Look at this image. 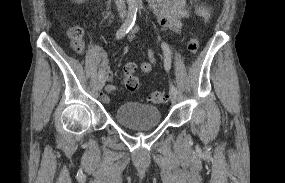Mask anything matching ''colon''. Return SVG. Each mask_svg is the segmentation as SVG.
I'll return each instance as SVG.
<instances>
[{
	"label": "colon",
	"instance_id": "5ec220e1",
	"mask_svg": "<svg viewBox=\"0 0 285 183\" xmlns=\"http://www.w3.org/2000/svg\"><path fill=\"white\" fill-rule=\"evenodd\" d=\"M69 35L72 39L73 49L77 53H81L84 50V44L82 41L83 29L80 26H73L69 30ZM199 48V42L196 37H192L187 42V51L189 54L194 55L197 53ZM137 67L135 63L128 62L123 67L124 74V85L127 90L135 91L139 85L138 78L134 75ZM149 100L155 104H162L167 102L168 95L161 90H156L150 93Z\"/></svg>",
	"mask_w": 285,
	"mask_h": 183
}]
</instances>
